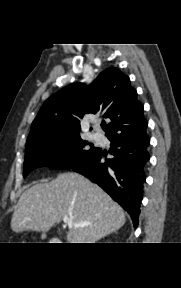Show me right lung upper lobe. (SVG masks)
Instances as JSON below:
<instances>
[{
	"instance_id": "cb5924a9",
	"label": "right lung upper lobe",
	"mask_w": 181,
	"mask_h": 288,
	"mask_svg": "<svg viewBox=\"0 0 181 288\" xmlns=\"http://www.w3.org/2000/svg\"><path fill=\"white\" fill-rule=\"evenodd\" d=\"M97 113L111 120L104 129L107 137L141 133L148 125L129 77L117 68H108L88 87L74 83L48 98L32 123L27 141L55 132L79 133V119Z\"/></svg>"
}]
</instances>
